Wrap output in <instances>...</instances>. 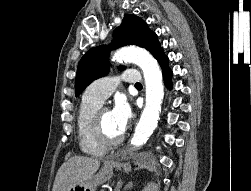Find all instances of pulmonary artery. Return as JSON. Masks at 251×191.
Listing matches in <instances>:
<instances>
[{
    "label": "pulmonary artery",
    "instance_id": "e3ab8cb5",
    "mask_svg": "<svg viewBox=\"0 0 251 191\" xmlns=\"http://www.w3.org/2000/svg\"><path fill=\"white\" fill-rule=\"evenodd\" d=\"M137 71V68H127V73L103 77L94 82L86 96L103 102L122 81L142 82L143 78L140 77V73H137Z\"/></svg>",
    "mask_w": 251,
    "mask_h": 191
}]
</instances>
